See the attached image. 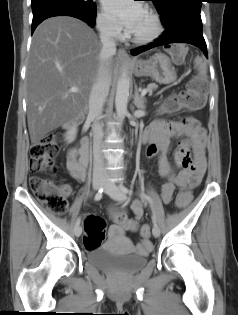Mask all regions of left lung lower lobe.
<instances>
[{
	"label": "left lung lower lobe",
	"instance_id": "1",
	"mask_svg": "<svg viewBox=\"0 0 238 315\" xmlns=\"http://www.w3.org/2000/svg\"><path fill=\"white\" fill-rule=\"evenodd\" d=\"M200 6H187L177 10L172 16L164 19L162 25L166 30L155 42L149 45L141 46L132 51V55H137L151 48L170 43H189L199 47L206 57L207 46L202 32V20L200 16Z\"/></svg>",
	"mask_w": 238,
	"mask_h": 315
}]
</instances>
